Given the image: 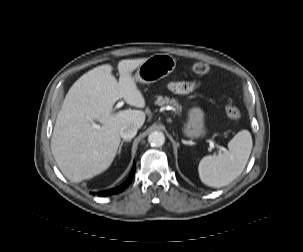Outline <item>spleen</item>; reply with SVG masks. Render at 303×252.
I'll return each mask as SVG.
<instances>
[{"mask_svg":"<svg viewBox=\"0 0 303 252\" xmlns=\"http://www.w3.org/2000/svg\"><path fill=\"white\" fill-rule=\"evenodd\" d=\"M253 146L248 130L239 131L228 143V151L203 157L198 165L201 181L210 187L228 185L244 170Z\"/></svg>","mask_w":303,"mask_h":252,"instance_id":"3e777b00","label":"spleen"}]
</instances>
